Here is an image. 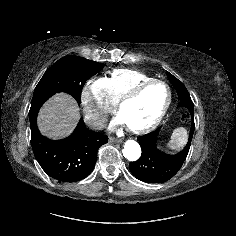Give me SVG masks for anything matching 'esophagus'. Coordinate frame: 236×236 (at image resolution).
<instances>
[{
    "mask_svg": "<svg viewBox=\"0 0 236 236\" xmlns=\"http://www.w3.org/2000/svg\"><path fill=\"white\" fill-rule=\"evenodd\" d=\"M109 141H110L111 143L120 142V139L114 138V137H109Z\"/></svg>",
    "mask_w": 236,
    "mask_h": 236,
    "instance_id": "34e87169",
    "label": "esophagus"
}]
</instances>
